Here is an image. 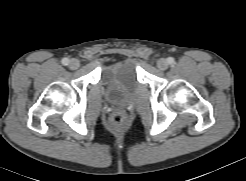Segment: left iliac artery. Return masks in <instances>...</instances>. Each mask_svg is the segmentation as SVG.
Instances as JSON below:
<instances>
[{"label":"left iliac artery","instance_id":"44dca946","mask_svg":"<svg viewBox=\"0 0 246 181\" xmlns=\"http://www.w3.org/2000/svg\"><path fill=\"white\" fill-rule=\"evenodd\" d=\"M167 60H168L169 64H174L175 63V60L172 57H169Z\"/></svg>","mask_w":246,"mask_h":181}]
</instances>
